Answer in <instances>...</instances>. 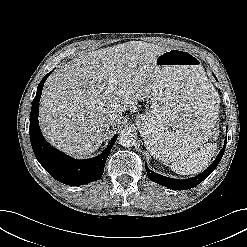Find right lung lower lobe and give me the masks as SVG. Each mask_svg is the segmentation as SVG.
<instances>
[{"label": "right lung lower lobe", "instance_id": "obj_1", "mask_svg": "<svg viewBox=\"0 0 247 247\" xmlns=\"http://www.w3.org/2000/svg\"><path fill=\"white\" fill-rule=\"evenodd\" d=\"M52 71L46 74L39 83L36 96L32 103L30 141L34 154L43 168L61 183L76 186L98 180L103 174L107 157L118 135L113 136L107 148L100 155L85 160L73 159L50 146L44 139L39 128L38 112L44 82Z\"/></svg>", "mask_w": 247, "mask_h": 247}]
</instances>
